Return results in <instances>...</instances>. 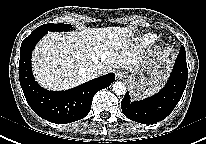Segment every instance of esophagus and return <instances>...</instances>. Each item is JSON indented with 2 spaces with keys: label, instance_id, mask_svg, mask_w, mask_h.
<instances>
[{
  "label": "esophagus",
  "instance_id": "1",
  "mask_svg": "<svg viewBox=\"0 0 206 144\" xmlns=\"http://www.w3.org/2000/svg\"><path fill=\"white\" fill-rule=\"evenodd\" d=\"M125 77V73L123 71H117L116 72V78L117 79H122Z\"/></svg>",
  "mask_w": 206,
  "mask_h": 144
}]
</instances>
